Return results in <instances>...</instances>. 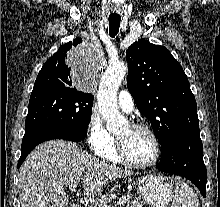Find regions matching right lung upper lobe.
I'll return each instance as SVG.
<instances>
[{
	"label": "right lung upper lobe",
	"mask_w": 220,
	"mask_h": 207,
	"mask_svg": "<svg viewBox=\"0 0 220 207\" xmlns=\"http://www.w3.org/2000/svg\"><path fill=\"white\" fill-rule=\"evenodd\" d=\"M80 42H82V39L76 38L73 42L62 45L43 65L34 83V88L56 87L76 89L73 86L70 76L71 67L67 65V59L68 52L72 46H76Z\"/></svg>",
	"instance_id": "obj_1"
}]
</instances>
